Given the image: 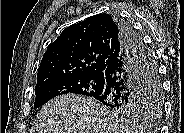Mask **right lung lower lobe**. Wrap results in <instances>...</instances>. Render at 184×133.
I'll return each instance as SVG.
<instances>
[{
	"label": "right lung lower lobe",
	"mask_w": 184,
	"mask_h": 133,
	"mask_svg": "<svg viewBox=\"0 0 184 133\" xmlns=\"http://www.w3.org/2000/svg\"><path fill=\"white\" fill-rule=\"evenodd\" d=\"M116 20L121 31L120 47L103 73L101 93L94 97L106 106L141 101L151 85L150 53L129 24Z\"/></svg>",
	"instance_id": "obj_1"
}]
</instances>
